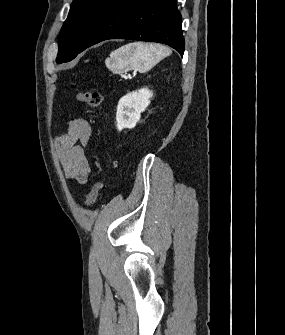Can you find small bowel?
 I'll return each mask as SVG.
<instances>
[{
    "label": "small bowel",
    "mask_w": 285,
    "mask_h": 335,
    "mask_svg": "<svg viewBox=\"0 0 285 335\" xmlns=\"http://www.w3.org/2000/svg\"><path fill=\"white\" fill-rule=\"evenodd\" d=\"M91 137V126L85 119L68 123V130L56 140V150L64 172L69 180L84 184L87 182L90 165L85 148Z\"/></svg>",
    "instance_id": "obj_1"
}]
</instances>
